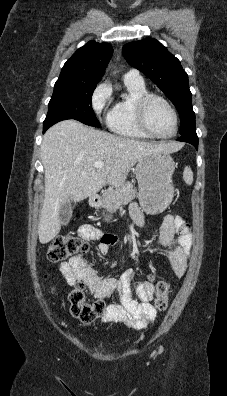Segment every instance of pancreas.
Returning <instances> with one entry per match:
<instances>
[{
	"label": "pancreas",
	"mask_w": 227,
	"mask_h": 396,
	"mask_svg": "<svg viewBox=\"0 0 227 396\" xmlns=\"http://www.w3.org/2000/svg\"><path fill=\"white\" fill-rule=\"evenodd\" d=\"M135 196L136 191L130 182L116 189L109 188L103 194L104 208L108 212L116 211L133 200Z\"/></svg>",
	"instance_id": "obj_1"
}]
</instances>
